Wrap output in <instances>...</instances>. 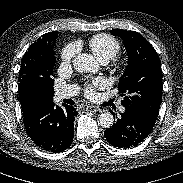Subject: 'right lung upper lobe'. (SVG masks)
Returning a JSON list of instances; mask_svg holds the SVG:
<instances>
[{
	"instance_id": "obj_1",
	"label": "right lung upper lobe",
	"mask_w": 183,
	"mask_h": 183,
	"mask_svg": "<svg viewBox=\"0 0 183 183\" xmlns=\"http://www.w3.org/2000/svg\"><path fill=\"white\" fill-rule=\"evenodd\" d=\"M57 39V31L49 32L38 38L24 54L19 71V99L23 89L36 79L46 74L45 62H48L53 54V45ZM21 106H25L21 101Z\"/></svg>"
}]
</instances>
